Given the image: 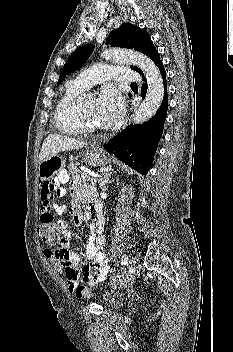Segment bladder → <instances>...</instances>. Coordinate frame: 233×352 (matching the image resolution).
I'll use <instances>...</instances> for the list:
<instances>
[{
    "label": "bladder",
    "mask_w": 233,
    "mask_h": 352,
    "mask_svg": "<svg viewBox=\"0 0 233 352\" xmlns=\"http://www.w3.org/2000/svg\"><path fill=\"white\" fill-rule=\"evenodd\" d=\"M104 305L108 308H117L123 303V297L115 291H106L103 294Z\"/></svg>",
    "instance_id": "bladder-1"
}]
</instances>
